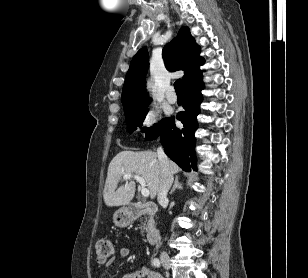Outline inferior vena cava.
Returning <instances> with one entry per match:
<instances>
[{
    "mask_svg": "<svg viewBox=\"0 0 308 278\" xmlns=\"http://www.w3.org/2000/svg\"><path fill=\"white\" fill-rule=\"evenodd\" d=\"M157 156L161 168V180L158 187V201L163 202L167 200L168 191L173 183V175L170 171L169 160L162 147H158Z\"/></svg>",
    "mask_w": 308,
    "mask_h": 278,
    "instance_id": "obj_1",
    "label": "inferior vena cava"
}]
</instances>
